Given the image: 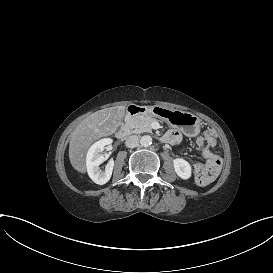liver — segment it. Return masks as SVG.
I'll return each instance as SVG.
<instances>
[{
    "mask_svg": "<svg viewBox=\"0 0 273 273\" xmlns=\"http://www.w3.org/2000/svg\"><path fill=\"white\" fill-rule=\"evenodd\" d=\"M125 116V106L98 110L82 120L71 134L69 159L73 168L86 172L85 154L89 146L101 137L115 133Z\"/></svg>",
    "mask_w": 273,
    "mask_h": 273,
    "instance_id": "obj_1",
    "label": "liver"
}]
</instances>
